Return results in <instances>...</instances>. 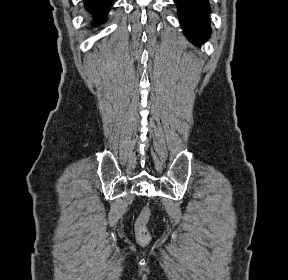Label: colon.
I'll use <instances>...</instances> for the list:
<instances>
[{
    "label": "colon",
    "mask_w": 288,
    "mask_h": 280,
    "mask_svg": "<svg viewBox=\"0 0 288 280\" xmlns=\"http://www.w3.org/2000/svg\"><path fill=\"white\" fill-rule=\"evenodd\" d=\"M151 217V209L149 206L144 207L135 223V233L140 243H147L150 240V232L148 230V222Z\"/></svg>",
    "instance_id": "1"
}]
</instances>
